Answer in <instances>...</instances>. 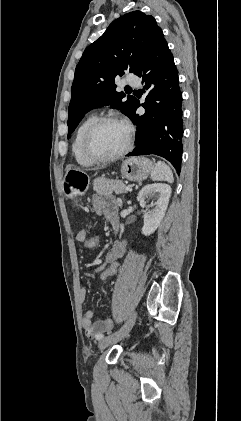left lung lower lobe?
I'll list each match as a JSON object with an SVG mask.
<instances>
[{"instance_id": "left-lung-lower-lobe-1", "label": "left lung lower lobe", "mask_w": 241, "mask_h": 421, "mask_svg": "<svg viewBox=\"0 0 241 421\" xmlns=\"http://www.w3.org/2000/svg\"><path fill=\"white\" fill-rule=\"evenodd\" d=\"M147 96L142 106L146 112L139 116L136 100L130 119L137 125L136 147L127 156L155 154L181 171L183 119L182 93L178 71L163 32L160 31L138 69Z\"/></svg>"}]
</instances>
